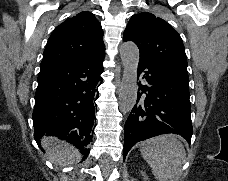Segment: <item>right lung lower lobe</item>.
Here are the masks:
<instances>
[{
    "instance_id": "98d812e1",
    "label": "right lung lower lobe",
    "mask_w": 228,
    "mask_h": 181,
    "mask_svg": "<svg viewBox=\"0 0 228 181\" xmlns=\"http://www.w3.org/2000/svg\"><path fill=\"white\" fill-rule=\"evenodd\" d=\"M104 55L41 70L33 111L34 137L54 135L76 146L85 159L103 72Z\"/></svg>"
}]
</instances>
